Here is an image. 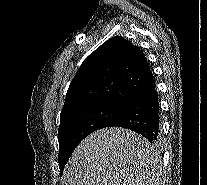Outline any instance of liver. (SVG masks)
<instances>
[{
  "mask_svg": "<svg viewBox=\"0 0 207 185\" xmlns=\"http://www.w3.org/2000/svg\"><path fill=\"white\" fill-rule=\"evenodd\" d=\"M159 169L158 157L142 135L105 127L79 143L65 165L61 185H147Z\"/></svg>",
  "mask_w": 207,
  "mask_h": 185,
  "instance_id": "1",
  "label": "liver"
}]
</instances>
